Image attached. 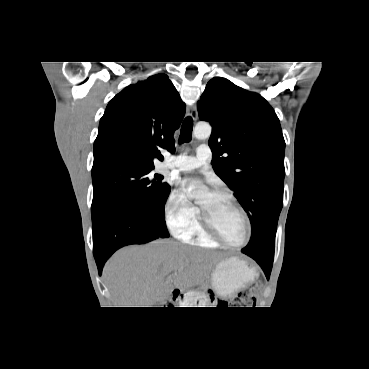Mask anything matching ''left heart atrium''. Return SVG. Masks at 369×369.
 <instances>
[{
  "instance_id": "left-heart-atrium-1",
  "label": "left heart atrium",
  "mask_w": 369,
  "mask_h": 369,
  "mask_svg": "<svg viewBox=\"0 0 369 369\" xmlns=\"http://www.w3.org/2000/svg\"><path fill=\"white\" fill-rule=\"evenodd\" d=\"M191 183H192V181H191V180H185V181H183V182H182V185H183L184 187H187V186H189Z\"/></svg>"
}]
</instances>
